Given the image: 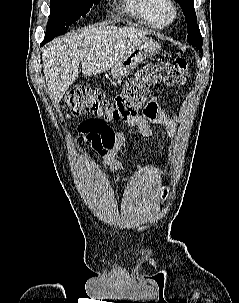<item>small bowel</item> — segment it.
I'll return each mask as SVG.
<instances>
[{
  "instance_id": "c3829d8e",
  "label": "small bowel",
  "mask_w": 239,
  "mask_h": 303,
  "mask_svg": "<svg viewBox=\"0 0 239 303\" xmlns=\"http://www.w3.org/2000/svg\"><path fill=\"white\" fill-rule=\"evenodd\" d=\"M95 121L97 119L91 118L79 125L80 141L90 143L95 148L107 173L114 176L120 175L122 170L116 156L124 145V135L114 127L94 131L93 123ZM165 122L166 120L160 111L158 98L152 97L145 106L142 115L128 119L127 125L137 127L143 136L151 138L154 135V126Z\"/></svg>"
}]
</instances>
